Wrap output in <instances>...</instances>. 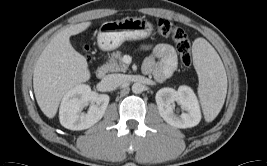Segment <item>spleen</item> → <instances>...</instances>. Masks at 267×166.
I'll return each instance as SVG.
<instances>
[{
    "mask_svg": "<svg viewBox=\"0 0 267 166\" xmlns=\"http://www.w3.org/2000/svg\"><path fill=\"white\" fill-rule=\"evenodd\" d=\"M193 64L198 74V96L207 122L213 121L221 111L227 93V76L215 49L203 38L192 46Z\"/></svg>",
    "mask_w": 267,
    "mask_h": 166,
    "instance_id": "spleen-1",
    "label": "spleen"
}]
</instances>
